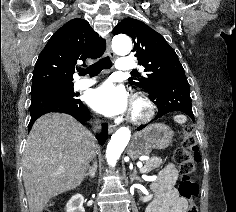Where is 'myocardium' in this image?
Segmentation results:
<instances>
[{"label":"myocardium","instance_id":"1","mask_svg":"<svg viewBox=\"0 0 236 212\" xmlns=\"http://www.w3.org/2000/svg\"><path fill=\"white\" fill-rule=\"evenodd\" d=\"M153 102L143 95H136L133 99L130 112V122L134 125H141L148 122L154 114Z\"/></svg>","mask_w":236,"mask_h":212}]
</instances>
